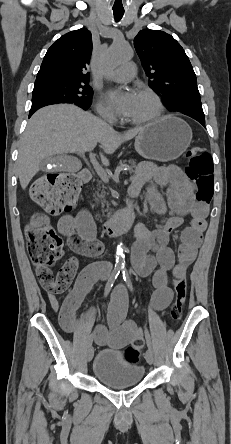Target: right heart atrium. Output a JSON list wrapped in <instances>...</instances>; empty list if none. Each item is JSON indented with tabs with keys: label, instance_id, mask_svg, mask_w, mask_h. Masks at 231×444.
I'll list each match as a JSON object with an SVG mask.
<instances>
[{
	"label": "right heart atrium",
	"instance_id": "1",
	"mask_svg": "<svg viewBox=\"0 0 231 444\" xmlns=\"http://www.w3.org/2000/svg\"><path fill=\"white\" fill-rule=\"evenodd\" d=\"M96 111L101 117L107 120L113 121L116 119L114 111L101 100H98L96 103Z\"/></svg>",
	"mask_w": 231,
	"mask_h": 444
}]
</instances>
